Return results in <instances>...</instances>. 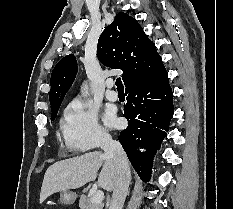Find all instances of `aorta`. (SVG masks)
Returning a JSON list of instances; mask_svg holds the SVG:
<instances>
[{
    "mask_svg": "<svg viewBox=\"0 0 233 209\" xmlns=\"http://www.w3.org/2000/svg\"><path fill=\"white\" fill-rule=\"evenodd\" d=\"M81 93L83 97H87L89 95L88 85L84 83L81 87Z\"/></svg>",
    "mask_w": 233,
    "mask_h": 209,
    "instance_id": "1",
    "label": "aorta"
}]
</instances>
